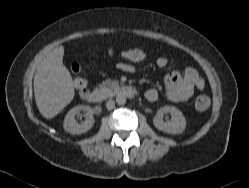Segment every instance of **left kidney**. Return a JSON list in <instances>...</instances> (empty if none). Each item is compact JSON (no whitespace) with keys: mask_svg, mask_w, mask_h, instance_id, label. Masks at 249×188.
<instances>
[{"mask_svg":"<svg viewBox=\"0 0 249 188\" xmlns=\"http://www.w3.org/2000/svg\"><path fill=\"white\" fill-rule=\"evenodd\" d=\"M165 113L171 115L170 121H163ZM155 127L168 134H180L186 129V119L182 112L174 106H164L157 111L153 118Z\"/></svg>","mask_w":249,"mask_h":188,"instance_id":"1","label":"left kidney"}]
</instances>
